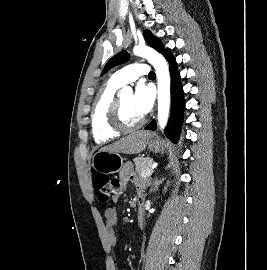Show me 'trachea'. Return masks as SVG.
Returning a JSON list of instances; mask_svg holds the SVG:
<instances>
[{
    "label": "trachea",
    "instance_id": "3493384b",
    "mask_svg": "<svg viewBox=\"0 0 267 270\" xmlns=\"http://www.w3.org/2000/svg\"><path fill=\"white\" fill-rule=\"evenodd\" d=\"M154 75H155L154 72H150V73H149V76H154Z\"/></svg>",
    "mask_w": 267,
    "mask_h": 270
}]
</instances>
